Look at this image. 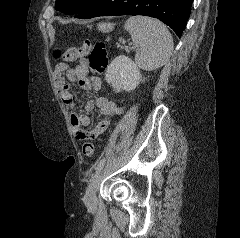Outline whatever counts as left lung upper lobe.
Wrapping results in <instances>:
<instances>
[{"label":"left lung upper lobe","instance_id":"5c2ea615","mask_svg":"<svg viewBox=\"0 0 240 238\" xmlns=\"http://www.w3.org/2000/svg\"><path fill=\"white\" fill-rule=\"evenodd\" d=\"M91 0H56V9L66 14H79Z\"/></svg>","mask_w":240,"mask_h":238}]
</instances>
